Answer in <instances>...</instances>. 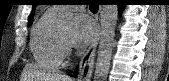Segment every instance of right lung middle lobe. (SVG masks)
<instances>
[{"instance_id": "obj_1", "label": "right lung middle lobe", "mask_w": 169, "mask_h": 81, "mask_svg": "<svg viewBox=\"0 0 169 81\" xmlns=\"http://www.w3.org/2000/svg\"><path fill=\"white\" fill-rule=\"evenodd\" d=\"M32 24V22L28 23V25L30 26Z\"/></svg>"}]
</instances>
